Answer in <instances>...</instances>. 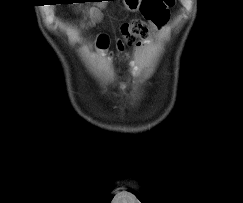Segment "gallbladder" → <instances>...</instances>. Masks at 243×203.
I'll return each instance as SVG.
<instances>
[{"label":"gallbladder","mask_w":243,"mask_h":203,"mask_svg":"<svg viewBox=\"0 0 243 203\" xmlns=\"http://www.w3.org/2000/svg\"><path fill=\"white\" fill-rule=\"evenodd\" d=\"M94 18H95L96 20H99V19H100V15H99V14H96V15L94 16Z\"/></svg>","instance_id":"bac80fb5"}]
</instances>
